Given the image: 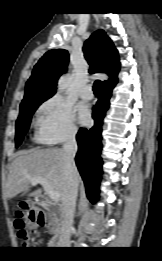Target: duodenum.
<instances>
[{
    "label": "duodenum",
    "mask_w": 162,
    "mask_h": 261,
    "mask_svg": "<svg viewBox=\"0 0 162 261\" xmlns=\"http://www.w3.org/2000/svg\"><path fill=\"white\" fill-rule=\"evenodd\" d=\"M36 203L46 211V215L42 211L44 214V222H43L42 227L48 228L52 232H55L58 234L57 240L54 242V245H57L56 243H59L58 244L59 246H64L62 243L65 241V237L63 236V234L61 232V226L59 223L55 222V220L52 217L54 208L49 207L45 197L42 195H39L36 198Z\"/></svg>",
    "instance_id": "obj_1"
}]
</instances>
